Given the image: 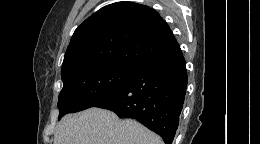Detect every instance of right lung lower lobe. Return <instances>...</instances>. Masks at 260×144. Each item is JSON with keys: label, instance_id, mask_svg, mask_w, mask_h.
<instances>
[{"label": "right lung lower lobe", "instance_id": "98d812e1", "mask_svg": "<svg viewBox=\"0 0 260 144\" xmlns=\"http://www.w3.org/2000/svg\"><path fill=\"white\" fill-rule=\"evenodd\" d=\"M186 87V63L178 48L135 67L116 92L94 107L136 119L172 144Z\"/></svg>", "mask_w": 260, "mask_h": 144}]
</instances>
